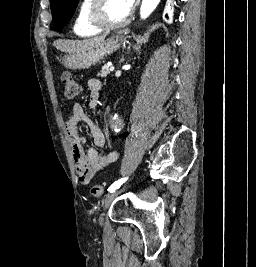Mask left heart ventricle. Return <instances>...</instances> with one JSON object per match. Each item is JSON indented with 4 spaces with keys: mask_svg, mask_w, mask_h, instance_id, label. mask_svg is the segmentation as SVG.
Returning <instances> with one entry per match:
<instances>
[{
    "mask_svg": "<svg viewBox=\"0 0 256 267\" xmlns=\"http://www.w3.org/2000/svg\"><path fill=\"white\" fill-rule=\"evenodd\" d=\"M102 16L105 21L112 26H122L131 18V15L124 14L121 7L115 0L108 1L105 4Z\"/></svg>",
    "mask_w": 256,
    "mask_h": 267,
    "instance_id": "obj_1",
    "label": "left heart ventricle"
}]
</instances>
